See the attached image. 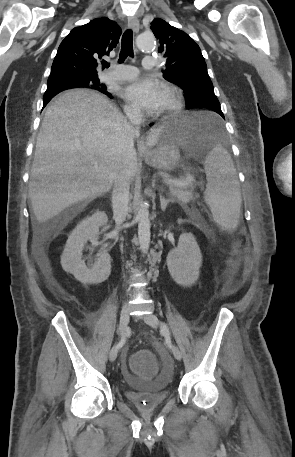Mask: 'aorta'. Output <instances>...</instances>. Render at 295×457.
<instances>
[{
	"instance_id": "1",
	"label": "aorta",
	"mask_w": 295,
	"mask_h": 457,
	"mask_svg": "<svg viewBox=\"0 0 295 457\" xmlns=\"http://www.w3.org/2000/svg\"><path fill=\"white\" fill-rule=\"evenodd\" d=\"M155 37L153 34H140L136 38V45L141 50H151L154 47ZM138 239L143 254H147L150 245V219L148 208L141 204L138 213Z\"/></svg>"
}]
</instances>
